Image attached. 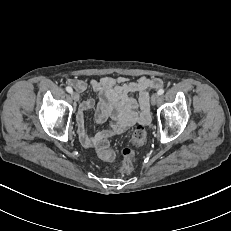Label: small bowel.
<instances>
[{
  "label": "small bowel",
  "mask_w": 231,
  "mask_h": 231,
  "mask_svg": "<svg viewBox=\"0 0 231 231\" xmlns=\"http://www.w3.org/2000/svg\"><path fill=\"white\" fill-rule=\"evenodd\" d=\"M68 84L77 91L83 92L88 87L98 92L99 104L95 112V120L105 123L111 119L108 129L91 136L86 129L85 112L92 109L95 101L84 100L77 113L78 135L85 148H93L101 141L124 132L136 123L146 124L149 115V90L163 86L160 78L142 76L135 81L124 76H106L89 82L81 79H68ZM138 94V98L134 97Z\"/></svg>",
  "instance_id": "c3829d8e"
}]
</instances>
